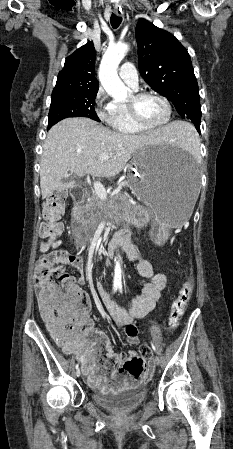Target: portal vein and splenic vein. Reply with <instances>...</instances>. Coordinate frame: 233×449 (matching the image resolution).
Here are the masks:
<instances>
[{
  "instance_id": "18ae733b",
  "label": "portal vein and splenic vein",
  "mask_w": 233,
  "mask_h": 449,
  "mask_svg": "<svg viewBox=\"0 0 233 449\" xmlns=\"http://www.w3.org/2000/svg\"><path fill=\"white\" fill-rule=\"evenodd\" d=\"M111 155L109 154H103L101 156L98 157L99 160L103 161V160H107L110 158ZM94 190L96 195L101 199V200H106L107 199V193H106V189L105 187L100 183V182H94L93 184Z\"/></svg>"
}]
</instances>
